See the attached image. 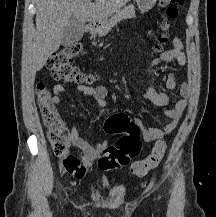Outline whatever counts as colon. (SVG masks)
Masks as SVG:
<instances>
[{
  "instance_id": "5ec220e1",
  "label": "colon",
  "mask_w": 216,
  "mask_h": 217,
  "mask_svg": "<svg viewBox=\"0 0 216 217\" xmlns=\"http://www.w3.org/2000/svg\"><path fill=\"white\" fill-rule=\"evenodd\" d=\"M165 9V18L160 23L162 33L158 36V46L162 47L168 41L166 31L169 27L167 18H175L183 0H159ZM81 52V45L72 43L54 53L49 61V69L53 79L57 81L73 82L81 86H90L95 82L93 74L82 72L72 65L73 60ZM36 95L40 105V112L45 126L48 128V138L54 154L61 159L63 167L76 176H81L82 169L77 157L70 153V141L65 123L54 105V97L43 83L36 88ZM104 130L109 134L119 132L129 134L116 143L107 146L98 160V166L103 171L125 167L136 157L141 148L140 130L127 114L120 112L109 116L104 122ZM166 152L164 140H157L146 159L131 165V172L136 176H143L156 168Z\"/></svg>"
}]
</instances>
